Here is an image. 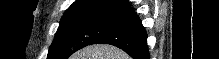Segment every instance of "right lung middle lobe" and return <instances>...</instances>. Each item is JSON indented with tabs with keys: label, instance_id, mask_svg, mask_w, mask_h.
<instances>
[{
	"label": "right lung middle lobe",
	"instance_id": "1",
	"mask_svg": "<svg viewBox=\"0 0 219 59\" xmlns=\"http://www.w3.org/2000/svg\"><path fill=\"white\" fill-rule=\"evenodd\" d=\"M126 19L125 15L117 14L114 9L85 11L62 17L47 59H68Z\"/></svg>",
	"mask_w": 219,
	"mask_h": 59
}]
</instances>
